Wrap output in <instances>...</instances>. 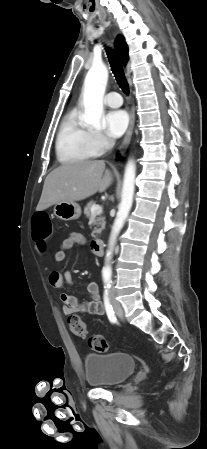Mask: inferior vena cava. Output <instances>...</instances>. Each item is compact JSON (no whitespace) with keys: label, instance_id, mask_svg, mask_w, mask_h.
Returning <instances> with one entry per match:
<instances>
[{"label":"inferior vena cava","instance_id":"1","mask_svg":"<svg viewBox=\"0 0 207 449\" xmlns=\"http://www.w3.org/2000/svg\"><path fill=\"white\" fill-rule=\"evenodd\" d=\"M114 144H115L114 140L113 139H109V141H108L109 147L112 148L114 146ZM113 292H114V288H111L110 289V293H113Z\"/></svg>","mask_w":207,"mask_h":449}]
</instances>
